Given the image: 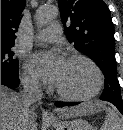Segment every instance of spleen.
I'll list each match as a JSON object with an SVG mask.
<instances>
[{"label":"spleen","mask_w":123,"mask_h":130,"mask_svg":"<svg viewBox=\"0 0 123 130\" xmlns=\"http://www.w3.org/2000/svg\"><path fill=\"white\" fill-rule=\"evenodd\" d=\"M101 130H123V123L113 109H106V116Z\"/></svg>","instance_id":"1"}]
</instances>
